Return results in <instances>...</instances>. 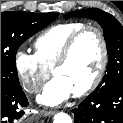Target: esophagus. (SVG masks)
Segmentation results:
<instances>
[{
	"instance_id": "1",
	"label": "esophagus",
	"mask_w": 123,
	"mask_h": 123,
	"mask_svg": "<svg viewBox=\"0 0 123 123\" xmlns=\"http://www.w3.org/2000/svg\"><path fill=\"white\" fill-rule=\"evenodd\" d=\"M54 113H55V112L52 111V110L42 111V112H41V114H42L43 116H51V115H53Z\"/></svg>"
}]
</instances>
